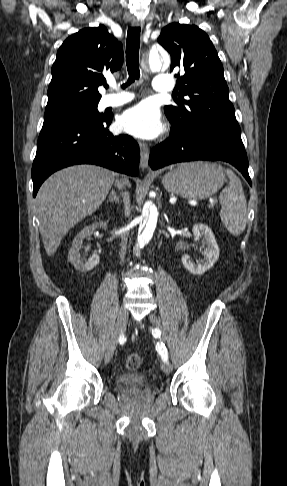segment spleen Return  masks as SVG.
<instances>
[{"mask_svg": "<svg viewBox=\"0 0 287 486\" xmlns=\"http://www.w3.org/2000/svg\"><path fill=\"white\" fill-rule=\"evenodd\" d=\"M227 175L229 185L219 195L220 218L230 234L239 236L247 224V201L240 179L230 170Z\"/></svg>", "mask_w": 287, "mask_h": 486, "instance_id": "spleen-1", "label": "spleen"}]
</instances>
